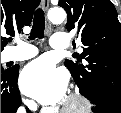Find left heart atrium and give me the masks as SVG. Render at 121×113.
<instances>
[{"instance_id": "39dd6f15", "label": "left heart atrium", "mask_w": 121, "mask_h": 113, "mask_svg": "<svg viewBox=\"0 0 121 113\" xmlns=\"http://www.w3.org/2000/svg\"><path fill=\"white\" fill-rule=\"evenodd\" d=\"M20 82L23 92L42 104H58L65 99L67 76L50 60L30 63L23 70Z\"/></svg>"}]
</instances>
